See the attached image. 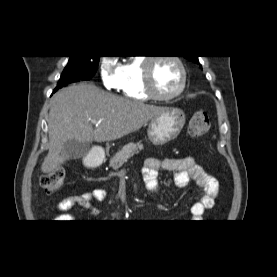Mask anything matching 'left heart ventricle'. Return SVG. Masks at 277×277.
Returning a JSON list of instances; mask_svg holds the SVG:
<instances>
[{
    "label": "left heart ventricle",
    "instance_id": "1",
    "mask_svg": "<svg viewBox=\"0 0 277 277\" xmlns=\"http://www.w3.org/2000/svg\"><path fill=\"white\" fill-rule=\"evenodd\" d=\"M153 79L156 91L161 95H170L180 86L179 67L171 60L158 59L153 64Z\"/></svg>",
    "mask_w": 277,
    "mask_h": 277
}]
</instances>
